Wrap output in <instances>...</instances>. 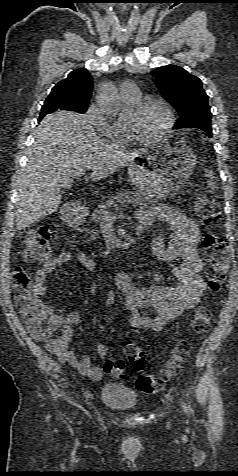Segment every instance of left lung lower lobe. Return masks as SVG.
Here are the masks:
<instances>
[{"instance_id": "1", "label": "left lung lower lobe", "mask_w": 238, "mask_h": 476, "mask_svg": "<svg viewBox=\"0 0 238 476\" xmlns=\"http://www.w3.org/2000/svg\"><path fill=\"white\" fill-rule=\"evenodd\" d=\"M199 129H201V130L205 131L206 133H208V136H209V137H212V130H211V129H207V128H205V127H204V128L202 127V128H199Z\"/></svg>"}]
</instances>
